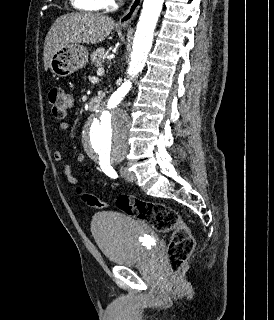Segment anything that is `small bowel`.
Listing matches in <instances>:
<instances>
[{
    "label": "small bowel",
    "mask_w": 274,
    "mask_h": 320,
    "mask_svg": "<svg viewBox=\"0 0 274 320\" xmlns=\"http://www.w3.org/2000/svg\"><path fill=\"white\" fill-rule=\"evenodd\" d=\"M68 129H69L68 123H66V122L60 123V125H59L60 132H66ZM53 158L56 162L61 164L62 171H63V174H64L66 181L71 185L78 184L79 179L73 173L71 165L65 161L63 153L61 151L57 150L53 153ZM77 162L81 165L84 164V162H85L84 153H79L77 155Z\"/></svg>",
    "instance_id": "small-bowel-1"
}]
</instances>
